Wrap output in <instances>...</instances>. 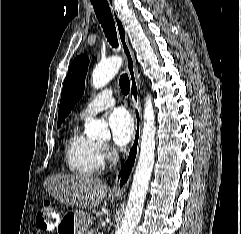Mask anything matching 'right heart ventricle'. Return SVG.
Masks as SVG:
<instances>
[{"instance_id":"e07e8e85","label":"right heart ventricle","mask_w":241,"mask_h":234,"mask_svg":"<svg viewBox=\"0 0 241 234\" xmlns=\"http://www.w3.org/2000/svg\"><path fill=\"white\" fill-rule=\"evenodd\" d=\"M65 159L69 170L78 175H93L103 167L100 145L83 135L75 126L65 144Z\"/></svg>"}]
</instances>
